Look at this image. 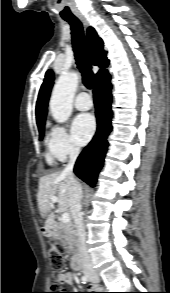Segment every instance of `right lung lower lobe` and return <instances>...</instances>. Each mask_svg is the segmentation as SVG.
<instances>
[{
  "label": "right lung lower lobe",
  "instance_id": "obj_1",
  "mask_svg": "<svg viewBox=\"0 0 170 293\" xmlns=\"http://www.w3.org/2000/svg\"><path fill=\"white\" fill-rule=\"evenodd\" d=\"M111 88L110 76H104L96 82L94 89V103L96 107L97 132L78 157L74 172L90 186H94L98 172L103 166L107 151V137L111 132Z\"/></svg>",
  "mask_w": 170,
  "mask_h": 293
}]
</instances>
